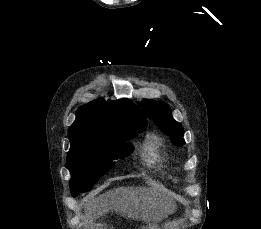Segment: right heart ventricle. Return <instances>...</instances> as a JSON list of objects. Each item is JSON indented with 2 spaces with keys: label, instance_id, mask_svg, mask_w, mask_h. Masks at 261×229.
<instances>
[{
  "label": "right heart ventricle",
  "instance_id": "right-heart-ventricle-1",
  "mask_svg": "<svg viewBox=\"0 0 261 229\" xmlns=\"http://www.w3.org/2000/svg\"><path fill=\"white\" fill-rule=\"evenodd\" d=\"M144 161L148 164H159L164 160L165 150L162 140L156 135H149L141 146Z\"/></svg>",
  "mask_w": 261,
  "mask_h": 229
}]
</instances>
